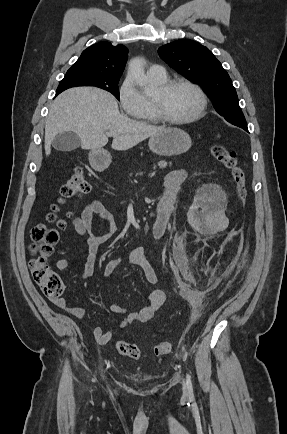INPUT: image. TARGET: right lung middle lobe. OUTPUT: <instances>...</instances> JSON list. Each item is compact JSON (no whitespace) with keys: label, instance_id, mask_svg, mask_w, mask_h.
Returning a JSON list of instances; mask_svg holds the SVG:
<instances>
[{"label":"right lung middle lobe","instance_id":"dd1d6c3e","mask_svg":"<svg viewBox=\"0 0 287 434\" xmlns=\"http://www.w3.org/2000/svg\"><path fill=\"white\" fill-rule=\"evenodd\" d=\"M118 82L119 78H107L67 71L66 76L57 88V92H62L74 86H95L112 93L119 100Z\"/></svg>","mask_w":287,"mask_h":434}]
</instances>
